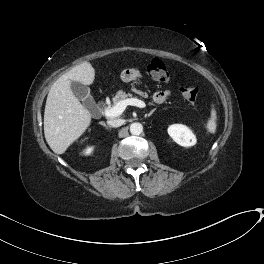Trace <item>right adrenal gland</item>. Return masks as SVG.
Returning a JSON list of instances; mask_svg holds the SVG:
<instances>
[{"mask_svg": "<svg viewBox=\"0 0 264 264\" xmlns=\"http://www.w3.org/2000/svg\"><path fill=\"white\" fill-rule=\"evenodd\" d=\"M100 124L103 125L106 129L109 128L108 125L106 123H104V122H100Z\"/></svg>", "mask_w": 264, "mask_h": 264, "instance_id": "right-adrenal-gland-1", "label": "right adrenal gland"}]
</instances>
